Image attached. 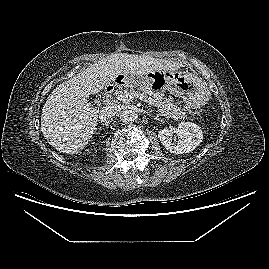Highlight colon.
<instances>
[{"mask_svg": "<svg viewBox=\"0 0 269 269\" xmlns=\"http://www.w3.org/2000/svg\"><path fill=\"white\" fill-rule=\"evenodd\" d=\"M194 112H195V113H199V112H200V110H199V109H196V110H194Z\"/></svg>", "mask_w": 269, "mask_h": 269, "instance_id": "5ec220e1", "label": "colon"}]
</instances>
